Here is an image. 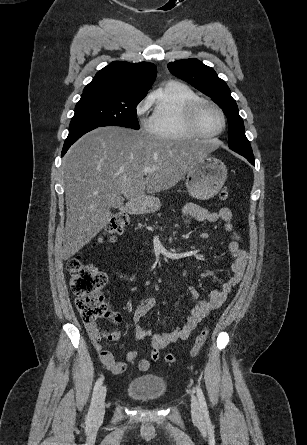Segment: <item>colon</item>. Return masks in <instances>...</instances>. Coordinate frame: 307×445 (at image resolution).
I'll return each instance as SVG.
<instances>
[{
	"label": "colon",
	"instance_id": "colon-1",
	"mask_svg": "<svg viewBox=\"0 0 307 445\" xmlns=\"http://www.w3.org/2000/svg\"><path fill=\"white\" fill-rule=\"evenodd\" d=\"M228 196L229 190L227 188H223L219 193L220 200H226ZM128 222L129 216L126 212L120 211L114 214L107 224L106 238L113 241L124 231ZM67 269L71 275L70 288L77 297L76 305L83 322L92 324L99 318H107L114 323H118L120 316L109 309L102 293L107 281L105 273L92 264L82 262L79 258L71 259L67 264ZM119 336L118 331H113L109 339L117 340ZM208 336V328H203L199 332L190 351L191 357L198 355ZM164 359L168 364L176 361L175 356L171 353L166 354Z\"/></svg>",
	"mask_w": 307,
	"mask_h": 445
}]
</instances>
